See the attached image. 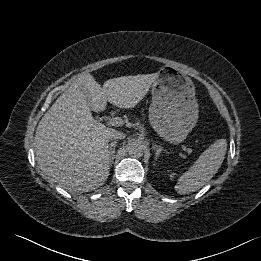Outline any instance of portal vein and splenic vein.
<instances>
[{
    "label": "portal vein and splenic vein",
    "mask_w": 261,
    "mask_h": 261,
    "mask_svg": "<svg viewBox=\"0 0 261 261\" xmlns=\"http://www.w3.org/2000/svg\"><path fill=\"white\" fill-rule=\"evenodd\" d=\"M110 124L112 126H121L123 125V120L119 117H115V118H112L110 120ZM183 150L186 151L188 154H191L192 153V149L191 148H188L186 146H182Z\"/></svg>",
    "instance_id": "obj_1"
}]
</instances>
